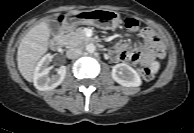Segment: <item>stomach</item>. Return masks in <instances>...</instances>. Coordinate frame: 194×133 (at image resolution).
<instances>
[{
	"label": "stomach",
	"mask_w": 194,
	"mask_h": 133,
	"mask_svg": "<svg viewBox=\"0 0 194 133\" xmlns=\"http://www.w3.org/2000/svg\"><path fill=\"white\" fill-rule=\"evenodd\" d=\"M120 23L118 13L106 9H94L87 11H78L70 15L67 25L70 29L78 25H93L95 27L113 30Z\"/></svg>",
	"instance_id": "0dacf381"
}]
</instances>
